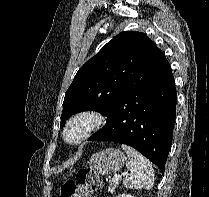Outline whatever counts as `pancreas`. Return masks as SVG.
<instances>
[{
	"label": "pancreas",
	"instance_id": "pancreas-1",
	"mask_svg": "<svg viewBox=\"0 0 209 197\" xmlns=\"http://www.w3.org/2000/svg\"><path fill=\"white\" fill-rule=\"evenodd\" d=\"M109 187H108V192L109 193H113L114 192V190L117 188V186H118V183H114V182H109Z\"/></svg>",
	"mask_w": 209,
	"mask_h": 197
}]
</instances>
